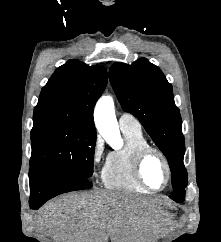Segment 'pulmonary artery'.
I'll return each mask as SVG.
<instances>
[{"instance_id": "e3ab8cb5", "label": "pulmonary artery", "mask_w": 221, "mask_h": 242, "mask_svg": "<svg viewBox=\"0 0 221 242\" xmlns=\"http://www.w3.org/2000/svg\"><path fill=\"white\" fill-rule=\"evenodd\" d=\"M119 126L132 130H141V125L138 120L128 113H123L119 117Z\"/></svg>"}]
</instances>
